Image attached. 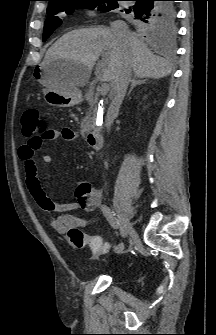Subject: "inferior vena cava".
Listing matches in <instances>:
<instances>
[{
	"label": "inferior vena cava",
	"instance_id": "1",
	"mask_svg": "<svg viewBox=\"0 0 216 335\" xmlns=\"http://www.w3.org/2000/svg\"><path fill=\"white\" fill-rule=\"evenodd\" d=\"M111 31L117 38L119 42L127 41L130 37V32L128 26L123 21H114L111 23ZM131 79V69L128 63L125 64L124 68L118 75L115 80L114 85V97L112 102L108 108L107 116H106V127L110 130L111 125L113 124L114 119L117 117L120 106L124 100L127 87L129 85Z\"/></svg>",
	"mask_w": 216,
	"mask_h": 335
}]
</instances>
